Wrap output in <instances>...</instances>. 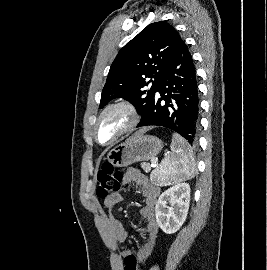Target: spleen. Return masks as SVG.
<instances>
[{
  "instance_id": "spleen-1",
  "label": "spleen",
  "mask_w": 267,
  "mask_h": 270,
  "mask_svg": "<svg viewBox=\"0 0 267 270\" xmlns=\"http://www.w3.org/2000/svg\"><path fill=\"white\" fill-rule=\"evenodd\" d=\"M171 152L165 155L157 168L159 185L177 184L195 175V160L189 144L179 135L172 136Z\"/></svg>"
}]
</instances>
